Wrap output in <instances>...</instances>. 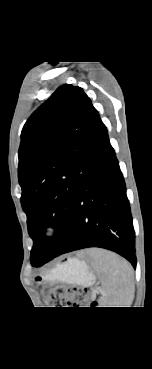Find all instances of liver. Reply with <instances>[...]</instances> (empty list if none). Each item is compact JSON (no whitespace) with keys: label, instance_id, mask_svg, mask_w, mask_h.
I'll use <instances>...</instances> for the list:
<instances>
[{"label":"liver","instance_id":"liver-1","mask_svg":"<svg viewBox=\"0 0 152 369\" xmlns=\"http://www.w3.org/2000/svg\"><path fill=\"white\" fill-rule=\"evenodd\" d=\"M91 251H92V250H88V251H87V254H88L89 256H91Z\"/></svg>","mask_w":152,"mask_h":369}]
</instances>
